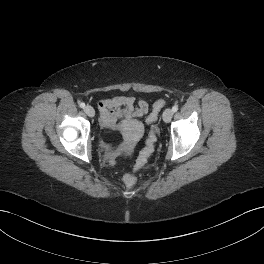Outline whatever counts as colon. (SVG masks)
Instances as JSON below:
<instances>
[{
  "instance_id": "colon-1",
  "label": "colon",
  "mask_w": 264,
  "mask_h": 264,
  "mask_svg": "<svg viewBox=\"0 0 264 264\" xmlns=\"http://www.w3.org/2000/svg\"><path fill=\"white\" fill-rule=\"evenodd\" d=\"M164 105H165L164 99L157 100L153 105L151 113L147 117L146 121L147 124L149 125V133L145 147L139 154L136 170L142 168L146 164L150 154L153 152L156 143V129L154 124L157 121L159 112L161 111ZM136 180H137V176L134 172L127 173L123 177V181L127 187L133 186Z\"/></svg>"
}]
</instances>
